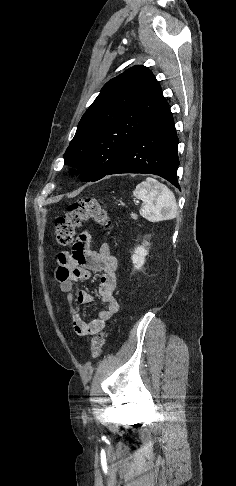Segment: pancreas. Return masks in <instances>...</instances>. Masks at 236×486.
<instances>
[{
    "label": "pancreas",
    "mask_w": 236,
    "mask_h": 486,
    "mask_svg": "<svg viewBox=\"0 0 236 486\" xmlns=\"http://www.w3.org/2000/svg\"><path fill=\"white\" fill-rule=\"evenodd\" d=\"M133 219H137V215L135 213L130 214Z\"/></svg>",
    "instance_id": "obj_1"
}]
</instances>
